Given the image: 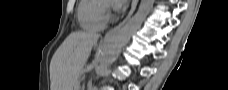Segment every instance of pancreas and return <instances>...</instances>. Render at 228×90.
I'll return each mask as SVG.
<instances>
[{"label":"pancreas","instance_id":"obj_1","mask_svg":"<svg viewBox=\"0 0 228 90\" xmlns=\"http://www.w3.org/2000/svg\"><path fill=\"white\" fill-rule=\"evenodd\" d=\"M77 89H79V82H77V85H76Z\"/></svg>","mask_w":228,"mask_h":90}]
</instances>
